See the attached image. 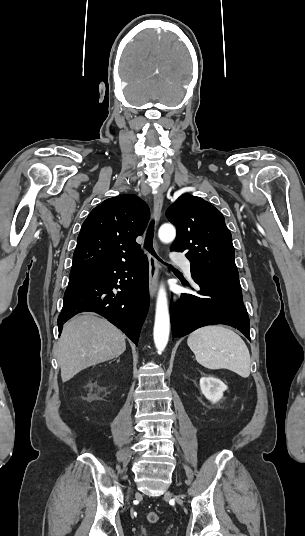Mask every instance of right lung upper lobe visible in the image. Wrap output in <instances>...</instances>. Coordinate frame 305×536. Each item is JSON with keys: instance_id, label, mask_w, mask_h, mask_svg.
I'll use <instances>...</instances> for the list:
<instances>
[{"instance_id": "1", "label": "right lung upper lobe", "mask_w": 305, "mask_h": 536, "mask_svg": "<svg viewBox=\"0 0 305 536\" xmlns=\"http://www.w3.org/2000/svg\"><path fill=\"white\" fill-rule=\"evenodd\" d=\"M149 214L147 204L132 194L109 198L94 208L79 233L70 275L141 255L135 240L143 234Z\"/></svg>"}]
</instances>
